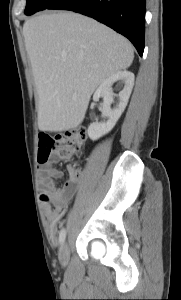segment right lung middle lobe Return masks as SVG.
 Segmentation results:
<instances>
[{"mask_svg": "<svg viewBox=\"0 0 181 300\" xmlns=\"http://www.w3.org/2000/svg\"><path fill=\"white\" fill-rule=\"evenodd\" d=\"M56 0H27L25 14L32 15L49 7Z\"/></svg>", "mask_w": 181, "mask_h": 300, "instance_id": "right-lung-middle-lobe-1", "label": "right lung middle lobe"}]
</instances>
